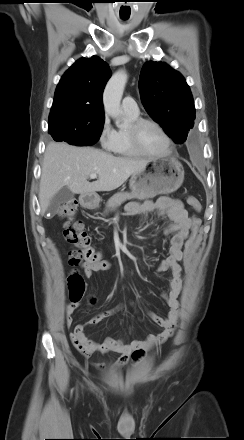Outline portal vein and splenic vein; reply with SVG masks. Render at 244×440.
<instances>
[{"label": "portal vein and splenic vein", "instance_id": "18ae733b", "mask_svg": "<svg viewBox=\"0 0 244 440\" xmlns=\"http://www.w3.org/2000/svg\"><path fill=\"white\" fill-rule=\"evenodd\" d=\"M89 177H90V179H96L97 178V174H91Z\"/></svg>", "mask_w": 244, "mask_h": 440}]
</instances>
